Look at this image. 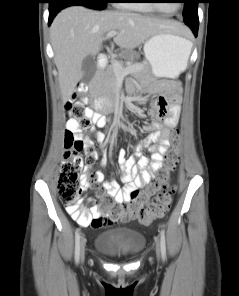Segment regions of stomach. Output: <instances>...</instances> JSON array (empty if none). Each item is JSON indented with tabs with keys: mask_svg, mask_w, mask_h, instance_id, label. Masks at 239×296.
<instances>
[{
	"mask_svg": "<svg viewBox=\"0 0 239 296\" xmlns=\"http://www.w3.org/2000/svg\"><path fill=\"white\" fill-rule=\"evenodd\" d=\"M192 43L171 32L151 36L144 44V54L152 75L159 79H175L185 70L188 49Z\"/></svg>",
	"mask_w": 239,
	"mask_h": 296,
	"instance_id": "obj_1",
	"label": "stomach"
}]
</instances>
